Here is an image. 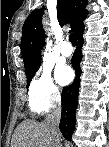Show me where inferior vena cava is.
Masks as SVG:
<instances>
[{
	"label": "inferior vena cava",
	"instance_id": "1",
	"mask_svg": "<svg viewBox=\"0 0 109 147\" xmlns=\"http://www.w3.org/2000/svg\"><path fill=\"white\" fill-rule=\"evenodd\" d=\"M61 118V106L55 105L50 110L45 118V123L48 126L53 147H62L60 142L59 122Z\"/></svg>",
	"mask_w": 109,
	"mask_h": 147
}]
</instances>
